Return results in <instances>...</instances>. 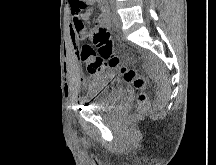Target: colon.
Wrapping results in <instances>:
<instances>
[{
  "mask_svg": "<svg viewBox=\"0 0 216 165\" xmlns=\"http://www.w3.org/2000/svg\"><path fill=\"white\" fill-rule=\"evenodd\" d=\"M70 2L74 9L76 5L86 7L85 0H70ZM91 38L97 52L88 44H84L80 49V57L86 63V69L91 73H99L105 68L118 69L124 80L138 91L139 109L143 110L147 103L146 80L136 70L122 64L120 57L114 52L113 39L107 28L96 24Z\"/></svg>",
  "mask_w": 216,
  "mask_h": 165,
  "instance_id": "colon-1",
  "label": "colon"
}]
</instances>
